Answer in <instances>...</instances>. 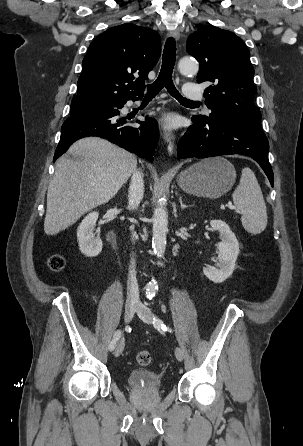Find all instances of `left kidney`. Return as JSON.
I'll list each match as a JSON object with an SVG mask.
<instances>
[{"label": "left kidney", "instance_id": "left-kidney-1", "mask_svg": "<svg viewBox=\"0 0 303 446\" xmlns=\"http://www.w3.org/2000/svg\"><path fill=\"white\" fill-rule=\"evenodd\" d=\"M210 225L220 233L221 242L218 243L217 267L203 268L204 275L215 283H222L230 277L235 269V262L239 254V243L229 226L222 220H211Z\"/></svg>", "mask_w": 303, "mask_h": 446}]
</instances>
